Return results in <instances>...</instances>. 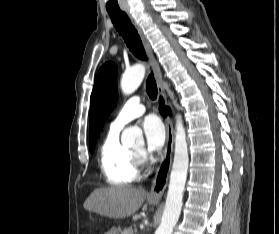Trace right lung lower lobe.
Masks as SVG:
<instances>
[{"instance_id":"right-lung-lower-lobe-1","label":"right lung lower lobe","mask_w":279,"mask_h":234,"mask_svg":"<svg viewBox=\"0 0 279 234\" xmlns=\"http://www.w3.org/2000/svg\"><path fill=\"white\" fill-rule=\"evenodd\" d=\"M159 110L163 116H166L167 114H171L169 107L164 106V100L162 98H160Z\"/></svg>"}]
</instances>
